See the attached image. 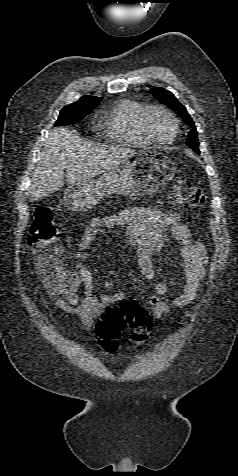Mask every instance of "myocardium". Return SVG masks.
Masks as SVG:
<instances>
[{
    "label": "myocardium",
    "instance_id": "1",
    "mask_svg": "<svg viewBox=\"0 0 238 476\" xmlns=\"http://www.w3.org/2000/svg\"><path fill=\"white\" fill-rule=\"evenodd\" d=\"M156 110H159V111H162L163 113H165L171 119V121L173 123V126H174L173 134L167 140H159V139L155 138L149 130V127H148L149 115L153 111H156ZM139 124H140V129H141L143 135L145 136V138L149 142L157 144V145H167V144L172 143L176 139V137L179 133V121H178L177 117L175 116V114L169 108H167L166 106L161 105V104H152V105H149V106L145 107V109L142 111V113L140 115Z\"/></svg>",
    "mask_w": 238,
    "mask_h": 476
}]
</instances>
